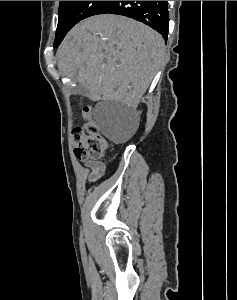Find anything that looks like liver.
I'll use <instances>...</instances> for the list:
<instances>
[{"label":"liver","mask_w":237,"mask_h":300,"mask_svg":"<svg viewBox=\"0 0 237 300\" xmlns=\"http://www.w3.org/2000/svg\"><path fill=\"white\" fill-rule=\"evenodd\" d=\"M165 55L161 35L121 15H95L75 25L57 51L64 75L93 77L94 95L122 97L137 107Z\"/></svg>","instance_id":"liver-1"}]
</instances>
